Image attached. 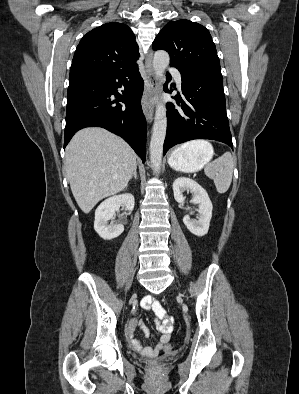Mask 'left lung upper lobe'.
I'll return each mask as SVG.
<instances>
[{
  "label": "left lung upper lobe",
  "mask_w": 299,
  "mask_h": 394,
  "mask_svg": "<svg viewBox=\"0 0 299 394\" xmlns=\"http://www.w3.org/2000/svg\"><path fill=\"white\" fill-rule=\"evenodd\" d=\"M154 50L163 49L170 55V66L181 74L211 72L221 75L220 61L209 31L189 20L167 23L155 38Z\"/></svg>",
  "instance_id": "5c2ea615"
}]
</instances>
